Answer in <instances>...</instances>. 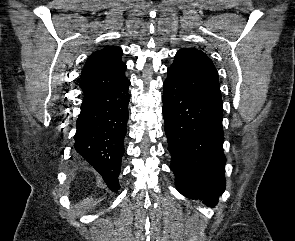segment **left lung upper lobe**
Returning <instances> with one entry per match:
<instances>
[{
	"instance_id": "obj_1",
	"label": "left lung upper lobe",
	"mask_w": 295,
	"mask_h": 241,
	"mask_svg": "<svg viewBox=\"0 0 295 241\" xmlns=\"http://www.w3.org/2000/svg\"><path fill=\"white\" fill-rule=\"evenodd\" d=\"M168 71L194 93L222 103L217 70L202 51L194 48L180 49Z\"/></svg>"
}]
</instances>
